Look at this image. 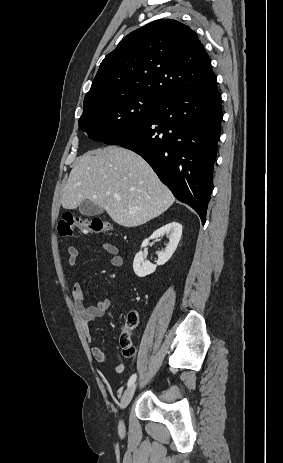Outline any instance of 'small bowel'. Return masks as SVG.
I'll return each instance as SVG.
<instances>
[{"mask_svg": "<svg viewBox=\"0 0 283 463\" xmlns=\"http://www.w3.org/2000/svg\"><path fill=\"white\" fill-rule=\"evenodd\" d=\"M103 249L110 255V265L113 267H120L123 264L122 257L119 255V249L110 243H104ZM80 257V251L74 247H68V262L70 265H75ZM72 298L77 311L79 312L81 323L84 327L85 334L88 340H91V334L89 332V325L96 318L103 316L111 307V301L109 299L100 300L95 306H87L86 298L83 290L78 282H75L72 287ZM92 356L96 361L105 362L108 358L107 352L99 347L94 346L91 348ZM114 371L118 374L123 373L124 365L117 363L114 365Z\"/></svg>", "mask_w": 283, "mask_h": 463, "instance_id": "small-bowel-1", "label": "small bowel"}]
</instances>
